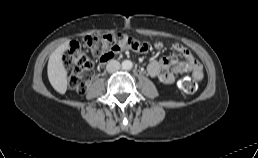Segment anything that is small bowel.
<instances>
[{"mask_svg": "<svg viewBox=\"0 0 258 158\" xmlns=\"http://www.w3.org/2000/svg\"><path fill=\"white\" fill-rule=\"evenodd\" d=\"M162 47L163 45L161 42H156L154 44V48L157 50H161ZM132 49L138 53L146 54L151 51L152 46L151 44L144 42L139 43L137 47ZM173 49L184 58V61H179L177 58L172 56L154 60L147 66L148 74L152 77L158 78V80L163 84L174 83L176 75L185 72H191L195 79L201 80L203 78V69L192 53L179 43H175L173 45ZM101 62H105V60H102Z\"/></svg>", "mask_w": 258, "mask_h": 158, "instance_id": "small-bowel-1", "label": "small bowel"}]
</instances>
